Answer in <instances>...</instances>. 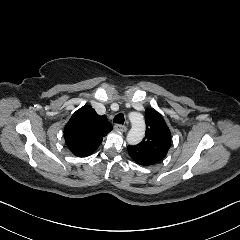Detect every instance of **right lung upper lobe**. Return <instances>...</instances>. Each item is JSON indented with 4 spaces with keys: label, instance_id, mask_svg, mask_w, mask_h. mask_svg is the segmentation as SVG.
Returning <instances> with one entry per match:
<instances>
[{
    "label": "right lung upper lobe",
    "instance_id": "right-lung-upper-lobe-1",
    "mask_svg": "<svg viewBox=\"0 0 240 240\" xmlns=\"http://www.w3.org/2000/svg\"><path fill=\"white\" fill-rule=\"evenodd\" d=\"M112 130L105 116H99L91 106L78 109L64 128L65 142L75 155L86 157L91 155Z\"/></svg>",
    "mask_w": 240,
    "mask_h": 240
}]
</instances>
